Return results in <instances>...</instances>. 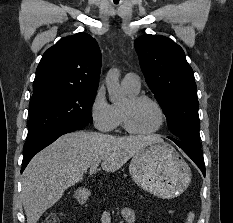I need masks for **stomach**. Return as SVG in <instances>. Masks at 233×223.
<instances>
[{
	"instance_id": "1",
	"label": "stomach",
	"mask_w": 233,
	"mask_h": 223,
	"mask_svg": "<svg viewBox=\"0 0 233 223\" xmlns=\"http://www.w3.org/2000/svg\"><path fill=\"white\" fill-rule=\"evenodd\" d=\"M129 173L139 187L162 199L183 193L192 177L189 165L165 141H152L133 155ZM76 195H82V191H77Z\"/></svg>"
}]
</instances>
